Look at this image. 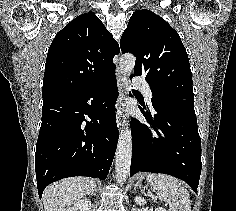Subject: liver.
I'll use <instances>...</instances> for the list:
<instances>
[{"label":"liver","mask_w":236,"mask_h":211,"mask_svg":"<svg viewBox=\"0 0 236 211\" xmlns=\"http://www.w3.org/2000/svg\"><path fill=\"white\" fill-rule=\"evenodd\" d=\"M94 181L87 177H71L49 185L43 192L44 211H67V208L89 195Z\"/></svg>","instance_id":"1"}]
</instances>
